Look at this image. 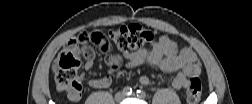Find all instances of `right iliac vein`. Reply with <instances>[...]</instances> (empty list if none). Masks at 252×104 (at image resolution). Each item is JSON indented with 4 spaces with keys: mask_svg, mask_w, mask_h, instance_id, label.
Here are the masks:
<instances>
[{
    "mask_svg": "<svg viewBox=\"0 0 252 104\" xmlns=\"http://www.w3.org/2000/svg\"><path fill=\"white\" fill-rule=\"evenodd\" d=\"M123 99H124V94H123V93L118 92V93L115 95V100H116L117 102H121Z\"/></svg>",
    "mask_w": 252,
    "mask_h": 104,
    "instance_id": "obj_1",
    "label": "right iliac vein"
}]
</instances>
